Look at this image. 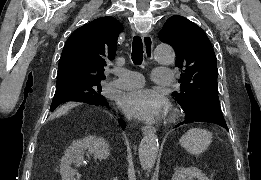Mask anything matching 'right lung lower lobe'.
<instances>
[{
	"instance_id": "right-lung-lower-lobe-1",
	"label": "right lung lower lobe",
	"mask_w": 261,
	"mask_h": 180,
	"mask_svg": "<svg viewBox=\"0 0 261 180\" xmlns=\"http://www.w3.org/2000/svg\"><path fill=\"white\" fill-rule=\"evenodd\" d=\"M88 104L97 105V106H104V105L107 104V102H106V100H104V101H100V102H96V103L92 102V103H88ZM119 124L123 129L125 128V122L122 119L119 120Z\"/></svg>"
}]
</instances>
